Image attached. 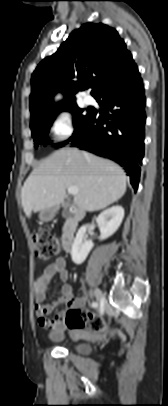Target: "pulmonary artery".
<instances>
[{
  "instance_id": "1",
  "label": "pulmonary artery",
  "mask_w": 168,
  "mask_h": 406,
  "mask_svg": "<svg viewBox=\"0 0 168 406\" xmlns=\"http://www.w3.org/2000/svg\"><path fill=\"white\" fill-rule=\"evenodd\" d=\"M84 102L87 105H92L94 103V98L92 96H90V95H85L84 96Z\"/></svg>"
}]
</instances>
